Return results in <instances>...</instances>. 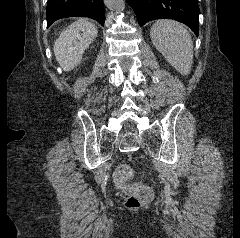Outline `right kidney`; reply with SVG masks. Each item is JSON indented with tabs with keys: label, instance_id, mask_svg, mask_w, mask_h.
Instances as JSON below:
<instances>
[{
	"label": "right kidney",
	"instance_id": "obj_1",
	"mask_svg": "<svg viewBox=\"0 0 240 238\" xmlns=\"http://www.w3.org/2000/svg\"><path fill=\"white\" fill-rule=\"evenodd\" d=\"M97 27L86 19L69 25L55 41L56 60L64 71H71L82 60L85 49L97 36Z\"/></svg>",
	"mask_w": 240,
	"mask_h": 238
}]
</instances>
